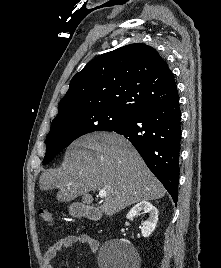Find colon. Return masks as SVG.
<instances>
[{
  "label": "colon",
  "mask_w": 221,
  "mask_h": 268,
  "mask_svg": "<svg viewBox=\"0 0 221 268\" xmlns=\"http://www.w3.org/2000/svg\"><path fill=\"white\" fill-rule=\"evenodd\" d=\"M39 214L41 216V218L46 222L48 223L49 225H53L54 224V218H53V215L52 213L47 210V209H41L39 211Z\"/></svg>",
  "instance_id": "5ec220e1"
}]
</instances>
